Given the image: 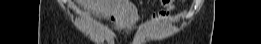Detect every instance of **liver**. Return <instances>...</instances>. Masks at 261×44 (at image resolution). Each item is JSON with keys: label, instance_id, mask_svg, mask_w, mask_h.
I'll list each match as a JSON object with an SVG mask.
<instances>
[{"label": "liver", "instance_id": "6515ba94", "mask_svg": "<svg viewBox=\"0 0 261 44\" xmlns=\"http://www.w3.org/2000/svg\"><path fill=\"white\" fill-rule=\"evenodd\" d=\"M84 8L91 9L96 16L119 19V24H130V19H137V9L130 0H79ZM133 13V14H129ZM127 30H136V25H127Z\"/></svg>", "mask_w": 261, "mask_h": 44}]
</instances>
